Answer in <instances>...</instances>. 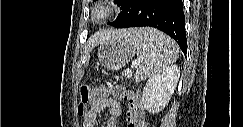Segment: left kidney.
<instances>
[{
  "instance_id": "1",
  "label": "left kidney",
  "mask_w": 243,
  "mask_h": 127,
  "mask_svg": "<svg viewBox=\"0 0 243 127\" xmlns=\"http://www.w3.org/2000/svg\"><path fill=\"white\" fill-rule=\"evenodd\" d=\"M180 77V68L172 65L152 75L144 89L142 104L152 114L165 108L170 101Z\"/></svg>"
}]
</instances>
